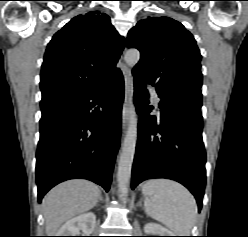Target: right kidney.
Segmentation results:
<instances>
[{"mask_svg":"<svg viewBox=\"0 0 248 237\" xmlns=\"http://www.w3.org/2000/svg\"><path fill=\"white\" fill-rule=\"evenodd\" d=\"M96 224V216L93 212L81 214L68 220L58 231L57 236H78L80 231L89 236Z\"/></svg>","mask_w":248,"mask_h":237,"instance_id":"right-kidney-1","label":"right kidney"}]
</instances>
